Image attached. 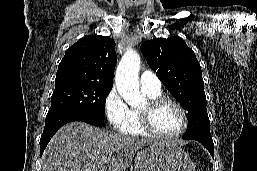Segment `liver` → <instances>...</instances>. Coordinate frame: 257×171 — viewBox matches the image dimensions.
I'll return each mask as SVG.
<instances>
[{
    "label": "liver",
    "mask_w": 257,
    "mask_h": 171,
    "mask_svg": "<svg viewBox=\"0 0 257 171\" xmlns=\"http://www.w3.org/2000/svg\"><path fill=\"white\" fill-rule=\"evenodd\" d=\"M153 143L71 122L50 140L41 159L42 171H126L134 154Z\"/></svg>",
    "instance_id": "obj_1"
}]
</instances>
